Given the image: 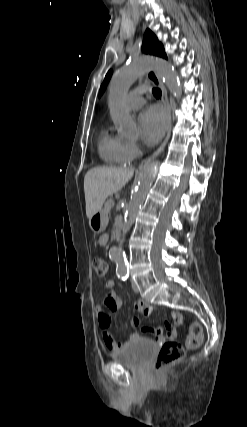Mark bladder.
Returning a JSON list of instances; mask_svg holds the SVG:
<instances>
[{
  "label": "bladder",
  "mask_w": 247,
  "mask_h": 427,
  "mask_svg": "<svg viewBox=\"0 0 247 427\" xmlns=\"http://www.w3.org/2000/svg\"><path fill=\"white\" fill-rule=\"evenodd\" d=\"M154 342L139 339L112 353V359L133 370H142L146 367L155 352Z\"/></svg>",
  "instance_id": "1"
}]
</instances>
